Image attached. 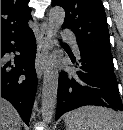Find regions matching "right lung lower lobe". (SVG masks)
Segmentation results:
<instances>
[{"label": "right lung lower lobe", "instance_id": "right-lung-lower-lobe-1", "mask_svg": "<svg viewBox=\"0 0 123 130\" xmlns=\"http://www.w3.org/2000/svg\"><path fill=\"white\" fill-rule=\"evenodd\" d=\"M16 51L20 55L14 59L13 67L6 62L5 54ZM35 56L36 41L31 29L1 38V97L11 102L27 125L37 89Z\"/></svg>", "mask_w": 123, "mask_h": 130}]
</instances>
